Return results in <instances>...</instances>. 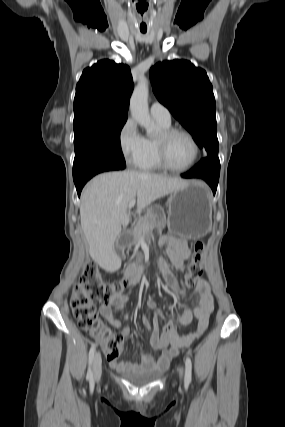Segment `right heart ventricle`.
<instances>
[{
	"label": "right heart ventricle",
	"mask_w": 285,
	"mask_h": 427,
	"mask_svg": "<svg viewBox=\"0 0 285 427\" xmlns=\"http://www.w3.org/2000/svg\"><path fill=\"white\" fill-rule=\"evenodd\" d=\"M157 122L161 130L171 127V123ZM135 165L145 171H157L162 168L157 155L156 138H145L143 151Z\"/></svg>",
	"instance_id": "e07e8e85"
}]
</instances>
